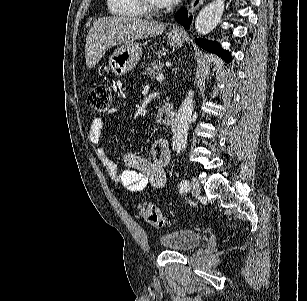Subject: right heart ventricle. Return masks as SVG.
<instances>
[{
	"label": "right heart ventricle",
	"mask_w": 307,
	"mask_h": 301,
	"mask_svg": "<svg viewBox=\"0 0 307 301\" xmlns=\"http://www.w3.org/2000/svg\"><path fill=\"white\" fill-rule=\"evenodd\" d=\"M106 11L109 17H141L144 1L141 0H107Z\"/></svg>",
	"instance_id": "right-heart-ventricle-1"
}]
</instances>
